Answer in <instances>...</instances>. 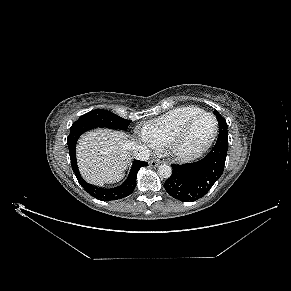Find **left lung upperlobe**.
<instances>
[{
  "mask_svg": "<svg viewBox=\"0 0 291 291\" xmlns=\"http://www.w3.org/2000/svg\"><path fill=\"white\" fill-rule=\"evenodd\" d=\"M214 114L217 116L219 122L220 133H225L227 135V123L226 120L219 114L218 111H214Z\"/></svg>",
  "mask_w": 291,
  "mask_h": 291,
  "instance_id": "5c2ea615",
  "label": "left lung upper lobe"
}]
</instances>
